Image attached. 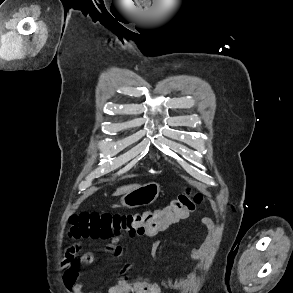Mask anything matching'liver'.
<instances>
[{
	"label": "liver",
	"mask_w": 293,
	"mask_h": 293,
	"mask_svg": "<svg viewBox=\"0 0 293 293\" xmlns=\"http://www.w3.org/2000/svg\"><path fill=\"white\" fill-rule=\"evenodd\" d=\"M137 187H139V185H137V184L123 186V187L118 188L113 195L117 196V195L125 194V193H128V192L136 189Z\"/></svg>",
	"instance_id": "1"
}]
</instances>
